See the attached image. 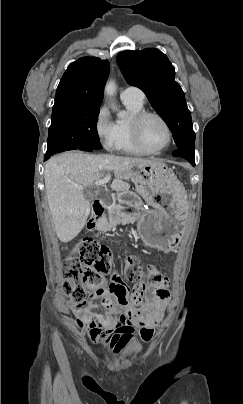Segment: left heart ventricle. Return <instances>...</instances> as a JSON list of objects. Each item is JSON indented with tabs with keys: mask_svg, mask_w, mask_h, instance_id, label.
<instances>
[{
	"mask_svg": "<svg viewBox=\"0 0 243 404\" xmlns=\"http://www.w3.org/2000/svg\"><path fill=\"white\" fill-rule=\"evenodd\" d=\"M140 137L152 149L162 148L168 141L165 124L156 116L147 117L140 125Z\"/></svg>",
	"mask_w": 243,
	"mask_h": 404,
	"instance_id": "obj_1",
	"label": "left heart ventricle"
}]
</instances>
